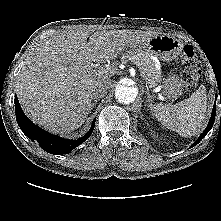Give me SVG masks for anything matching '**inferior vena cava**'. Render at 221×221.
<instances>
[{
  "instance_id": "602c4592",
  "label": "inferior vena cava",
  "mask_w": 221,
  "mask_h": 221,
  "mask_svg": "<svg viewBox=\"0 0 221 221\" xmlns=\"http://www.w3.org/2000/svg\"><path fill=\"white\" fill-rule=\"evenodd\" d=\"M106 94H107V88L105 86H100L94 91L93 98L94 99L102 98Z\"/></svg>"
}]
</instances>
